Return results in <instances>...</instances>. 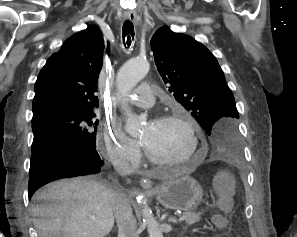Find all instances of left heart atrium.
I'll list each match as a JSON object with an SVG mask.
<instances>
[{
    "mask_svg": "<svg viewBox=\"0 0 297 237\" xmlns=\"http://www.w3.org/2000/svg\"><path fill=\"white\" fill-rule=\"evenodd\" d=\"M154 123H155V122H150V123L147 125V130H148V132L152 129ZM141 140H142V142H143V144H144V142H145L146 139H145V138H141Z\"/></svg>",
    "mask_w": 297,
    "mask_h": 237,
    "instance_id": "39dd6f15",
    "label": "left heart atrium"
}]
</instances>
